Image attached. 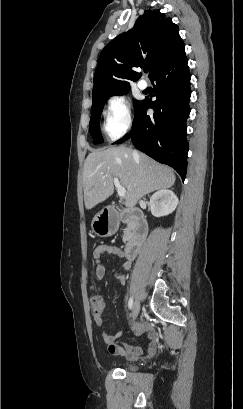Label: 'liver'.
Segmentation results:
<instances>
[{
  "mask_svg": "<svg viewBox=\"0 0 243 409\" xmlns=\"http://www.w3.org/2000/svg\"><path fill=\"white\" fill-rule=\"evenodd\" d=\"M126 189L128 208L148 193L174 185V171L126 146L91 152L83 167L84 203L87 210L105 201L114 193L113 178Z\"/></svg>",
  "mask_w": 243,
  "mask_h": 409,
  "instance_id": "liver-1",
  "label": "liver"
}]
</instances>
